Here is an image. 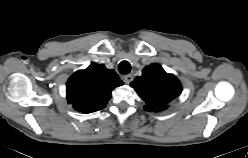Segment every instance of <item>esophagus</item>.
Masks as SVG:
<instances>
[{"label":"esophagus","instance_id":"obj_1","mask_svg":"<svg viewBox=\"0 0 248 158\" xmlns=\"http://www.w3.org/2000/svg\"><path fill=\"white\" fill-rule=\"evenodd\" d=\"M132 80H133V76L131 74H127L123 76V81L126 84H129L130 82H132Z\"/></svg>","mask_w":248,"mask_h":158}]
</instances>
